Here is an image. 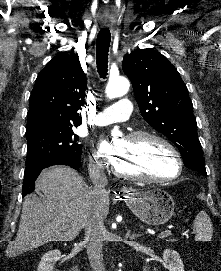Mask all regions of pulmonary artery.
Returning a JSON list of instances; mask_svg holds the SVG:
<instances>
[{
  "label": "pulmonary artery",
  "instance_id": "obj_1",
  "mask_svg": "<svg viewBox=\"0 0 221 271\" xmlns=\"http://www.w3.org/2000/svg\"><path fill=\"white\" fill-rule=\"evenodd\" d=\"M115 107H107V112H91L92 121L95 126H108L109 122H134L135 118L130 116L132 112L131 103L128 98H121V102H115ZM101 122V123H100ZM93 124L91 121L88 123Z\"/></svg>",
  "mask_w": 221,
  "mask_h": 271
}]
</instances>
